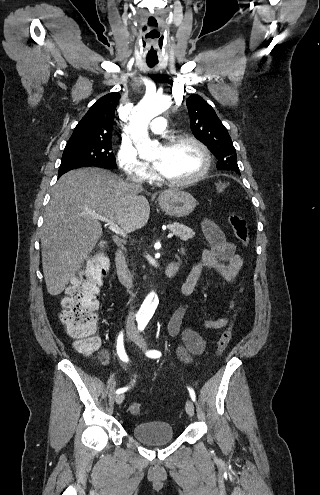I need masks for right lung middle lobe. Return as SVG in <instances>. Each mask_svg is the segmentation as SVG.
<instances>
[{
  "instance_id": "obj_1",
  "label": "right lung middle lobe",
  "mask_w": 320,
  "mask_h": 495,
  "mask_svg": "<svg viewBox=\"0 0 320 495\" xmlns=\"http://www.w3.org/2000/svg\"><path fill=\"white\" fill-rule=\"evenodd\" d=\"M111 142H68L65 146L58 175L70 170L97 166L116 168Z\"/></svg>"
}]
</instances>
